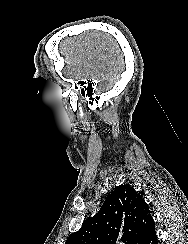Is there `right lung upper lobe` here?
I'll return each instance as SVG.
<instances>
[{"instance_id":"1","label":"right lung upper lobe","mask_w":188,"mask_h":244,"mask_svg":"<svg viewBox=\"0 0 188 244\" xmlns=\"http://www.w3.org/2000/svg\"><path fill=\"white\" fill-rule=\"evenodd\" d=\"M147 203L130 185L118 186L99 212L88 218L65 244H142L155 226Z\"/></svg>"}]
</instances>
